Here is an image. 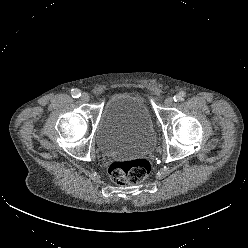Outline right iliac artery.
<instances>
[{
  "label": "right iliac artery",
  "mask_w": 248,
  "mask_h": 248,
  "mask_svg": "<svg viewBox=\"0 0 248 248\" xmlns=\"http://www.w3.org/2000/svg\"><path fill=\"white\" fill-rule=\"evenodd\" d=\"M71 95H72L73 98H78V97L81 96V92L78 89H72L71 90Z\"/></svg>",
  "instance_id": "obj_1"
}]
</instances>
